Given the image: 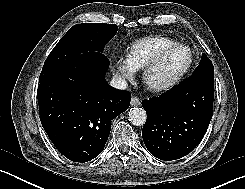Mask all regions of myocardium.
<instances>
[{
    "label": "myocardium",
    "instance_id": "myocardium-1",
    "mask_svg": "<svg viewBox=\"0 0 245 189\" xmlns=\"http://www.w3.org/2000/svg\"><path fill=\"white\" fill-rule=\"evenodd\" d=\"M184 48L189 53V60L187 65L180 71L173 79L163 84H151L149 82L150 73L155 70L161 62L165 59V57L175 49ZM194 64V54L189 46L182 43H174L163 48L149 63H147L143 68L142 79L145 85L153 92H165L168 91L175 86H177L190 72L192 66Z\"/></svg>",
    "mask_w": 245,
    "mask_h": 189
}]
</instances>
